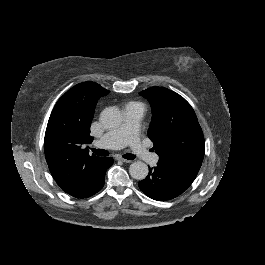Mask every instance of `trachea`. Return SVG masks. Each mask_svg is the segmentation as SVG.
I'll list each match as a JSON object with an SVG mask.
<instances>
[{
	"instance_id": "1",
	"label": "trachea",
	"mask_w": 265,
	"mask_h": 265,
	"mask_svg": "<svg viewBox=\"0 0 265 265\" xmlns=\"http://www.w3.org/2000/svg\"><path fill=\"white\" fill-rule=\"evenodd\" d=\"M92 152L97 154L98 156H107L109 154L108 151L103 149H92ZM123 158L133 160L136 159L137 156L135 154H124Z\"/></svg>"
}]
</instances>
